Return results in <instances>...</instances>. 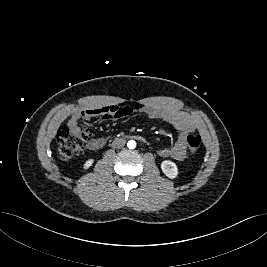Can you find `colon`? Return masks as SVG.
<instances>
[{
  "mask_svg": "<svg viewBox=\"0 0 267 267\" xmlns=\"http://www.w3.org/2000/svg\"><path fill=\"white\" fill-rule=\"evenodd\" d=\"M92 131L87 127H81L78 122L68 123L62 126L56 134L57 154L61 160H70L77 155L88 143ZM201 146V138L191 134L187 138V147L195 153Z\"/></svg>",
  "mask_w": 267,
  "mask_h": 267,
  "instance_id": "5ec220e1",
  "label": "colon"
}]
</instances>
